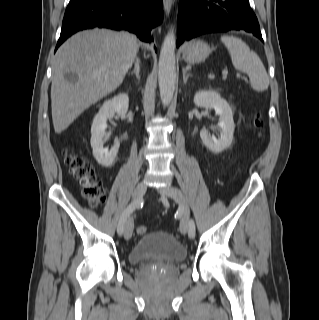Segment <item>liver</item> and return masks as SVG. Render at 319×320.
Here are the masks:
<instances>
[{"label":"liver","instance_id":"liver-1","mask_svg":"<svg viewBox=\"0 0 319 320\" xmlns=\"http://www.w3.org/2000/svg\"><path fill=\"white\" fill-rule=\"evenodd\" d=\"M132 34L109 29L76 33L57 50L52 65L51 109L60 134L88 107L115 91L138 52ZM77 75L76 83L64 75Z\"/></svg>","mask_w":319,"mask_h":320}]
</instances>
